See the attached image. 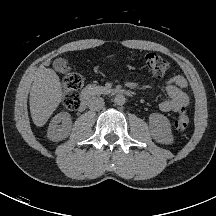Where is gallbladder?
Instances as JSON below:
<instances>
[{
  "instance_id": "obj_1",
  "label": "gallbladder",
  "mask_w": 216,
  "mask_h": 216,
  "mask_svg": "<svg viewBox=\"0 0 216 216\" xmlns=\"http://www.w3.org/2000/svg\"><path fill=\"white\" fill-rule=\"evenodd\" d=\"M53 67L57 72L66 73V68H68V62L62 58H58L54 60Z\"/></svg>"
}]
</instances>
